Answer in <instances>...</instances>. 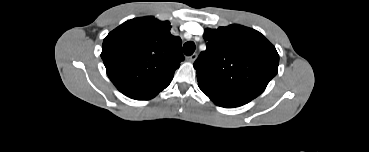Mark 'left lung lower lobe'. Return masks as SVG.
<instances>
[{
    "label": "left lung lower lobe",
    "mask_w": 369,
    "mask_h": 152,
    "mask_svg": "<svg viewBox=\"0 0 369 152\" xmlns=\"http://www.w3.org/2000/svg\"><path fill=\"white\" fill-rule=\"evenodd\" d=\"M199 88L216 105L221 106V107L234 108V107H239V106H242L244 104H247L248 102L251 101V99L246 98V97H243V96L229 94V93H224V92H219V91H215L213 89L205 88V87H202V86H199Z\"/></svg>",
    "instance_id": "1"
}]
</instances>
